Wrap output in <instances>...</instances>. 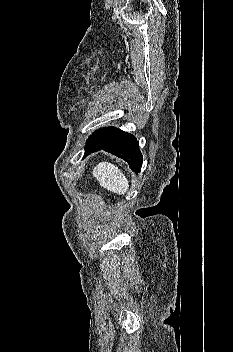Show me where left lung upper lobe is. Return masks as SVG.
<instances>
[{
    "mask_svg": "<svg viewBox=\"0 0 233 352\" xmlns=\"http://www.w3.org/2000/svg\"><path fill=\"white\" fill-rule=\"evenodd\" d=\"M107 128H103L100 130L95 131L87 140V143L92 140L93 138L97 137L100 133H102L104 130H106Z\"/></svg>",
    "mask_w": 233,
    "mask_h": 352,
    "instance_id": "obj_1",
    "label": "left lung upper lobe"
}]
</instances>
